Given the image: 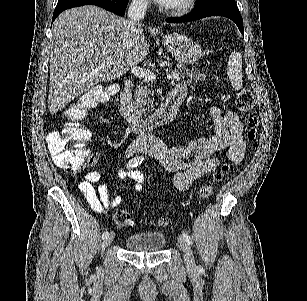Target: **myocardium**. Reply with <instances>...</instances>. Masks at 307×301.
Returning a JSON list of instances; mask_svg holds the SVG:
<instances>
[{"label": "myocardium", "instance_id": "f54148a6", "mask_svg": "<svg viewBox=\"0 0 307 301\" xmlns=\"http://www.w3.org/2000/svg\"><path fill=\"white\" fill-rule=\"evenodd\" d=\"M172 4H163L159 12H165V17H174L175 14L186 12L193 4V0L175 1Z\"/></svg>", "mask_w": 307, "mask_h": 301}]
</instances>
